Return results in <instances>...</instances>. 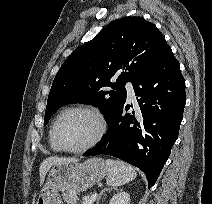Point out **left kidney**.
I'll return each instance as SVG.
<instances>
[{
    "instance_id": "5707ae66",
    "label": "left kidney",
    "mask_w": 212,
    "mask_h": 204,
    "mask_svg": "<svg viewBox=\"0 0 212 204\" xmlns=\"http://www.w3.org/2000/svg\"><path fill=\"white\" fill-rule=\"evenodd\" d=\"M109 204H130V195L121 191L112 197Z\"/></svg>"
}]
</instances>
